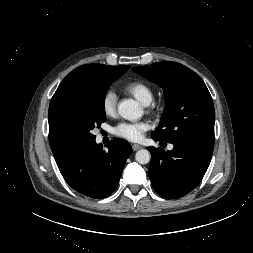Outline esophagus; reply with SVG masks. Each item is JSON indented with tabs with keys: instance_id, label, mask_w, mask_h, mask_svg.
<instances>
[{
	"instance_id": "obj_1",
	"label": "esophagus",
	"mask_w": 253,
	"mask_h": 253,
	"mask_svg": "<svg viewBox=\"0 0 253 253\" xmlns=\"http://www.w3.org/2000/svg\"><path fill=\"white\" fill-rule=\"evenodd\" d=\"M141 148H142V146L139 145V144H133V145H132L133 151H137V150H139V149H141Z\"/></svg>"
}]
</instances>
